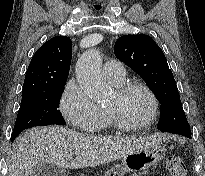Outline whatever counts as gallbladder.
<instances>
[{
    "label": "gallbladder",
    "mask_w": 205,
    "mask_h": 176,
    "mask_svg": "<svg viewBox=\"0 0 205 176\" xmlns=\"http://www.w3.org/2000/svg\"><path fill=\"white\" fill-rule=\"evenodd\" d=\"M65 170L55 164H40L34 171L32 176H64Z\"/></svg>",
    "instance_id": "1"
}]
</instances>
